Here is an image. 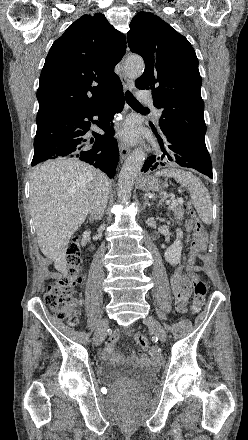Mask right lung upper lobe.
Masks as SVG:
<instances>
[{"label": "right lung upper lobe", "mask_w": 248, "mask_h": 440, "mask_svg": "<svg viewBox=\"0 0 248 440\" xmlns=\"http://www.w3.org/2000/svg\"><path fill=\"white\" fill-rule=\"evenodd\" d=\"M125 51V36L103 14L83 15L72 23L46 57L37 91V124L105 99L120 82L114 67Z\"/></svg>", "instance_id": "1"}]
</instances>
